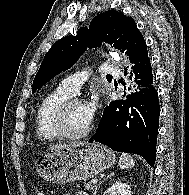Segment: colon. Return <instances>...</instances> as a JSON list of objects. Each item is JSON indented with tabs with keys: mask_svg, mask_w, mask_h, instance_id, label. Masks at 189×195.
<instances>
[{
	"mask_svg": "<svg viewBox=\"0 0 189 195\" xmlns=\"http://www.w3.org/2000/svg\"><path fill=\"white\" fill-rule=\"evenodd\" d=\"M38 195H43L42 193H39Z\"/></svg>",
	"mask_w": 189,
	"mask_h": 195,
	"instance_id": "1",
	"label": "colon"
}]
</instances>
